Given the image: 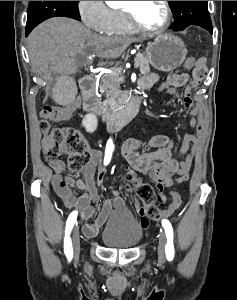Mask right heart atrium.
Masks as SVG:
<instances>
[{"mask_svg": "<svg viewBox=\"0 0 237 300\" xmlns=\"http://www.w3.org/2000/svg\"><path fill=\"white\" fill-rule=\"evenodd\" d=\"M78 10L83 23L92 31L113 32V10L104 1H78Z\"/></svg>", "mask_w": 237, "mask_h": 300, "instance_id": "obj_1", "label": "right heart atrium"}]
</instances>
